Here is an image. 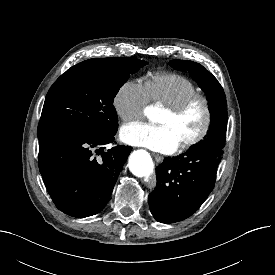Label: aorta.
I'll use <instances>...</instances> for the list:
<instances>
[{"label": "aorta", "mask_w": 275, "mask_h": 275, "mask_svg": "<svg viewBox=\"0 0 275 275\" xmlns=\"http://www.w3.org/2000/svg\"><path fill=\"white\" fill-rule=\"evenodd\" d=\"M146 115L150 120L156 121L160 116V111L157 108L149 107L146 110ZM129 168L138 177H148L154 170V164L147 152L138 150L130 155Z\"/></svg>", "instance_id": "obj_1"}]
</instances>
